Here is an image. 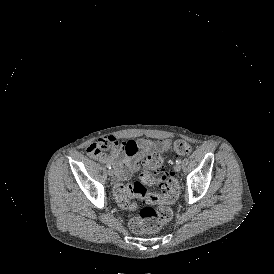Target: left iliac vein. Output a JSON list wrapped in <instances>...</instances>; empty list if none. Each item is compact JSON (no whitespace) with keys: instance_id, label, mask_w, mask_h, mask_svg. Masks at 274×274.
I'll list each match as a JSON object with an SVG mask.
<instances>
[{"instance_id":"4c4485c4","label":"left iliac vein","mask_w":274,"mask_h":274,"mask_svg":"<svg viewBox=\"0 0 274 274\" xmlns=\"http://www.w3.org/2000/svg\"><path fill=\"white\" fill-rule=\"evenodd\" d=\"M180 169H181V166H180L179 164H175V166H174V171H175V172H179Z\"/></svg>"}]
</instances>
